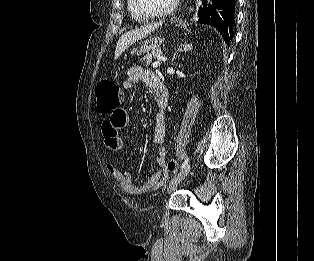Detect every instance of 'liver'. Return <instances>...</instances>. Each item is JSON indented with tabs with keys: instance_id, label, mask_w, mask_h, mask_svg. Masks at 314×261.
<instances>
[{
	"instance_id": "liver-1",
	"label": "liver",
	"mask_w": 314,
	"mask_h": 261,
	"mask_svg": "<svg viewBox=\"0 0 314 261\" xmlns=\"http://www.w3.org/2000/svg\"><path fill=\"white\" fill-rule=\"evenodd\" d=\"M159 24H150L143 28L132 30L129 32L124 33L116 46L115 49V55L114 59H118V57L133 43H135L138 40H141L142 38L146 37L149 33H151L153 30H155Z\"/></svg>"
}]
</instances>
